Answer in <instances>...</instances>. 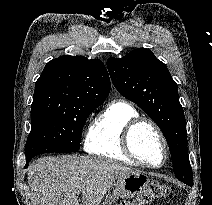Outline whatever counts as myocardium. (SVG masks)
Wrapping results in <instances>:
<instances>
[{"label":"myocardium","mask_w":212,"mask_h":205,"mask_svg":"<svg viewBox=\"0 0 212 205\" xmlns=\"http://www.w3.org/2000/svg\"><path fill=\"white\" fill-rule=\"evenodd\" d=\"M142 125L150 126L155 131V133L157 134V136L161 142V145L163 148V158H162L161 162L158 164H150V163L143 161L142 159H140L138 157V155L136 154V152L133 148V144H132L133 134H134L135 130ZM122 143H123V149H124L125 153L136 164L144 166V167L159 168L166 162V160L168 158V145H167L166 138H165L162 130L160 129V127L153 120L148 119V118L138 117V118L132 120L124 129Z\"/></svg>","instance_id":"myocardium-1"}]
</instances>
